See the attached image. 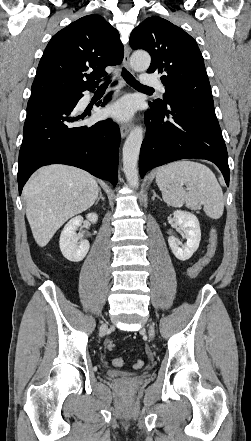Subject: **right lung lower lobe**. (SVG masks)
Returning <instances> with one entry per match:
<instances>
[{
    "label": "right lung lower lobe",
    "instance_id": "98d812e1",
    "mask_svg": "<svg viewBox=\"0 0 251 441\" xmlns=\"http://www.w3.org/2000/svg\"><path fill=\"white\" fill-rule=\"evenodd\" d=\"M82 92L30 97L19 152V194L34 171L56 163L84 169L116 185L120 129L110 119L79 125L84 115H77L75 107ZM108 100L106 97L101 106Z\"/></svg>",
    "mask_w": 251,
    "mask_h": 441
}]
</instances>
